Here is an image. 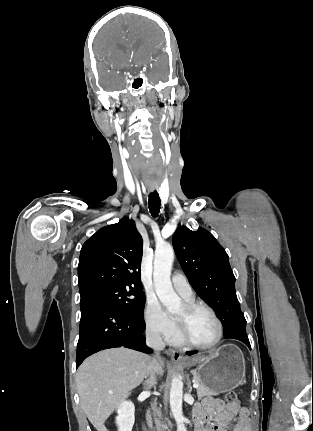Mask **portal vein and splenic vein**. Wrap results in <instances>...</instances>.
I'll return each mask as SVG.
<instances>
[{"label": "portal vein and splenic vein", "instance_id": "portal-vein-and-splenic-vein-1", "mask_svg": "<svg viewBox=\"0 0 313 431\" xmlns=\"http://www.w3.org/2000/svg\"><path fill=\"white\" fill-rule=\"evenodd\" d=\"M198 387H199L198 383L194 382L193 383V388H198Z\"/></svg>", "mask_w": 313, "mask_h": 431}]
</instances>
